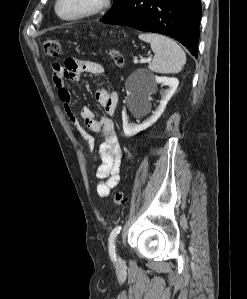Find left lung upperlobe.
I'll list each match as a JSON object with an SVG mask.
<instances>
[{"label": "left lung upper lobe", "instance_id": "1", "mask_svg": "<svg viewBox=\"0 0 247 299\" xmlns=\"http://www.w3.org/2000/svg\"><path fill=\"white\" fill-rule=\"evenodd\" d=\"M127 1L128 0H114L112 9L105 14L103 19L116 13L119 9H121L127 3Z\"/></svg>", "mask_w": 247, "mask_h": 299}]
</instances>
